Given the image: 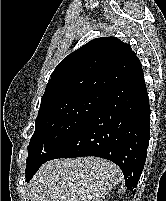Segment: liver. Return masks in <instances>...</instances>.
<instances>
[{
    "mask_svg": "<svg viewBox=\"0 0 166 201\" xmlns=\"http://www.w3.org/2000/svg\"><path fill=\"white\" fill-rule=\"evenodd\" d=\"M122 180L114 163L99 157L44 163L29 184L31 201H103Z\"/></svg>",
    "mask_w": 166,
    "mask_h": 201,
    "instance_id": "1",
    "label": "liver"
}]
</instances>
